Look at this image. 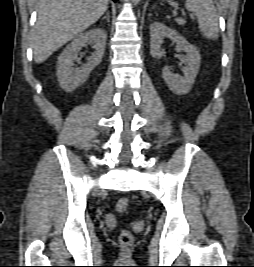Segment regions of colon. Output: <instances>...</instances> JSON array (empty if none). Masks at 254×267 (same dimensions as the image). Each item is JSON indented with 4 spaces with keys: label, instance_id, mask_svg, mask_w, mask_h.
I'll return each instance as SVG.
<instances>
[{
    "label": "colon",
    "instance_id": "1",
    "mask_svg": "<svg viewBox=\"0 0 254 267\" xmlns=\"http://www.w3.org/2000/svg\"><path fill=\"white\" fill-rule=\"evenodd\" d=\"M129 207L128 198H120L116 204L117 211L119 213H125ZM134 238L130 231L123 230L119 235V242L123 247H130L133 244Z\"/></svg>",
    "mask_w": 254,
    "mask_h": 267
}]
</instances>
